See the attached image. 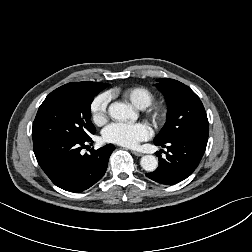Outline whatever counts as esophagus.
<instances>
[{
    "label": "esophagus",
    "instance_id": "34e87169",
    "mask_svg": "<svg viewBox=\"0 0 252 252\" xmlns=\"http://www.w3.org/2000/svg\"><path fill=\"white\" fill-rule=\"evenodd\" d=\"M134 155H136V156H143V154L141 153V152H138V151H135V150H132L131 151Z\"/></svg>",
    "mask_w": 252,
    "mask_h": 252
}]
</instances>
